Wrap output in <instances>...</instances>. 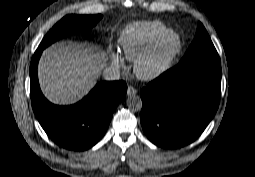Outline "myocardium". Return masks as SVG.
<instances>
[{"label": "myocardium", "mask_w": 255, "mask_h": 177, "mask_svg": "<svg viewBox=\"0 0 255 177\" xmlns=\"http://www.w3.org/2000/svg\"><path fill=\"white\" fill-rule=\"evenodd\" d=\"M174 37L176 40L174 48L167 54V56L151 70H144L143 65L152 56V54L159 48V46L168 38ZM182 47L179 35L173 30H166L157 36L135 59L133 72L135 76L143 81H151L158 78L171 64Z\"/></svg>", "instance_id": "1"}]
</instances>
